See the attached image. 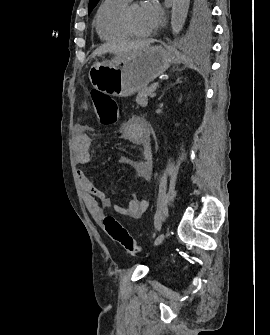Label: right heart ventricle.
Masks as SVG:
<instances>
[{"instance_id":"1","label":"right heart ventricle","mask_w":270,"mask_h":335,"mask_svg":"<svg viewBox=\"0 0 270 335\" xmlns=\"http://www.w3.org/2000/svg\"><path fill=\"white\" fill-rule=\"evenodd\" d=\"M129 3L122 0H104L95 16V31L105 41H119L129 38L121 28L119 16L121 11ZM129 78H151V77H129Z\"/></svg>"}]
</instances>
